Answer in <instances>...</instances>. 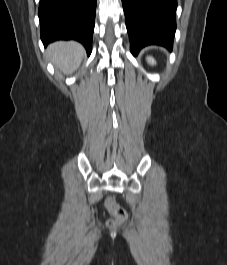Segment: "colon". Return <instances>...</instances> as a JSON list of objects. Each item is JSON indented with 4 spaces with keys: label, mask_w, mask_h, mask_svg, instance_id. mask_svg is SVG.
Wrapping results in <instances>:
<instances>
[{
    "label": "colon",
    "mask_w": 227,
    "mask_h": 265,
    "mask_svg": "<svg viewBox=\"0 0 227 265\" xmlns=\"http://www.w3.org/2000/svg\"><path fill=\"white\" fill-rule=\"evenodd\" d=\"M107 208L112 216L107 221V225L110 228L120 227L127 219L126 211L118 205L114 196H109L106 200Z\"/></svg>",
    "instance_id": "obj_1"
}]
</instances>
